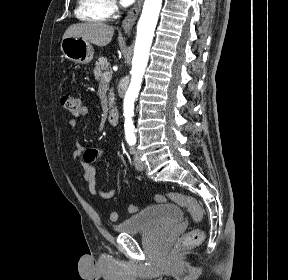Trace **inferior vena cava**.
Returning a JSON list of instances; mask_svg holds the SVG:
<instances>
[{"instance_id": "602c4592", "label": "inferior vena cava", "mask_w": 288, "mask_h": 280, "mask_svg": "<svg viewBox=\"0 0 288 280\" xmlns=\"http://www.w3.org/2000/svg\"><path fill=\"white\" fill-rule=\"evenodd\" d=\"M127 86H128V78H121V81L119 82L118 85L119 94H126Z\"/></svg>"}]
</instances>
